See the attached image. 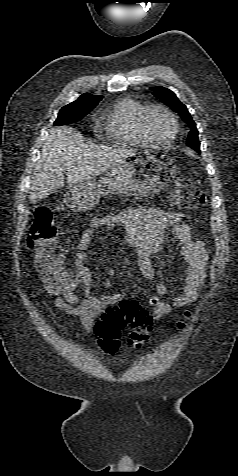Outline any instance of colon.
I'll return each mask as SVG.
<instances>
[{"label": "colon", "mask_w": 238, "mask_h": 476, "mask_svg": "<svg viewBox=\"0 0 238 476\" xmlns=\"http://www.w3.org/2000/svg\"><path fill=\"white\" fill-rule=\"evenodd\" d=\"M205 202L203 191L186 178L176 181L173 192V203L181 209H197ZM58 227L52 211L46 207H38L34 211L33 221L27 238L28 246L37 252L39 273L46 285L51 289L68 286L75 279L62 264L61 250L57 243ZM186 316H189L187 313ZM152 316L136 301L124 300L109 307L96 323L95 332L101 347L114 353L119 346L121 331L131 328L128 342L140 347L150 337ZM178 327H185L184 321Z\"/></svg>", "instance_id": "colon-1"}]
</instances>
